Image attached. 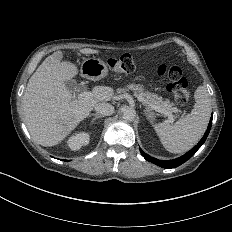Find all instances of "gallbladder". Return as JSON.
<instances>
[{"label":"gallbladder","instance_id":"bac80fb5","mask_svg":"<svg viewBox=\"0 0 232 232\" xmlns=\"http://www.w3.org/2000/svg\"><path fill=\"white\" fill-rule=\"evenodd\" d=\"M65 86L69 91H76L80 89V84L76 83L74 79L65 81Z\"/></svg>","mask_w":232,"mask_h":232}]
</instances>
